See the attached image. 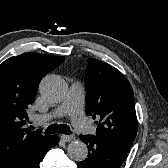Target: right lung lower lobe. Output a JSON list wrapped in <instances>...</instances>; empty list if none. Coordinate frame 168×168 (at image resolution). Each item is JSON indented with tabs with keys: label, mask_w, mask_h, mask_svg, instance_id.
<instances>
[{
	"label": "right lung lower lobe",
	"mask_w": 168,
	"mask_h": 168,
	"mask_svg": "<svg viewBox=\"0 0 168 168\" xmlns=\"http://www.w3.org/2000/svg\"><path fill=\"white\" fill-rule=\"evenodd\" d=\"M57 142L58 137L55 135L51 136L47 146L38 155L28 161L22 168H39L41 160L44 158L46 153L57 144Z\"/></svg>",
	"instance_id": "98d812e1"
}]
</instances>
